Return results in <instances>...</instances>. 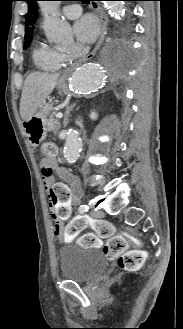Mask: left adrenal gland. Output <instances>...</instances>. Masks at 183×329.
<instances>
[{
  "label": "left adrenal gland",
  "instance_id": "a2214340",
  "mask_svg": "<svg viewBox=\"0 0 183 329\" xmlns=\"http://www.w3.org/2000/svg\"><path fill=\"white\" fill-rule=\"evenodd\" d=\"M76 103L69 105H66V112H65V117H64V121H63V125L64 127L67 126L68 122H69V116H70V112L73 110V108L75 107Z\"/></svg>",
  "mask_w": 183,
  "mask_h": 329
}]
</instances>
